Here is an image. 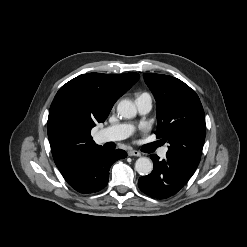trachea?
<instances>
[{
  "label": "trachea",
  "mask_w": 247,
  "mask_h": 247,
  "mask_svg": "<svg viewBox=\"0 0 247 247\" xmlns=\"http://www.w3.org/2000/svg\"><path fill=\"white\" fill-rule=\"evenodd\" d=\"M159 144L158 143H155V146H158Z\"/></svg>",
  "instance_id": "obj_1"
}]
</instances>
